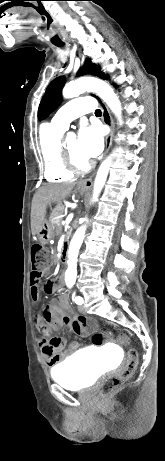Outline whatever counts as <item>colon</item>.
<instances>
[{"instance_id":"obj_1","label":"colon","mask_w":165,"mask_h":461,"mask_svg":"<svg viewBox=\"0 0 165 461\" xmlns=\"http://www.w3.org/2000/svg\"><path fill=\"white\" fill-rule=\"evenodd\" d=\"M31 262V279L35 282H39L43 276L44 270L49 264L48 251L44 246L36 244L32 247ZM118 340L122 345H127L129 343V337L124 333L119 335ZM138 360L139 357L137 350L129 349L127 353V362L121 371L115 375L106 377L102 381L100 386V394L103 398H106L115 391L119 390L123 383L132 377L137 368Z\"/></svg>"}]
</instances>
